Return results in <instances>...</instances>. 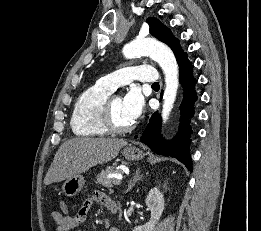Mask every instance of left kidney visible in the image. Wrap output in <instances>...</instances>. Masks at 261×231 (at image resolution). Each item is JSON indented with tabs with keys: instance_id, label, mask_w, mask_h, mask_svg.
<instances>
[{
	"instance_id": "obj_1",
	"label": "left kidney",
	"mask_w": 261,
	"mask_h": 231,
	"mask_svg": "<svg viewBox=\"0 0 261 231\" xmlns=\"http://www.w3.org/2000/svg\"><path fill=\"white\" fill-rule=\"evenodd\" d=\"M145 202L151 211V218L149 222L142 226L135 227L133 231H153L157 221L163 213L165 201L164 196L158 187H154L149 191Z\"/></svg>"
}]
</instances>
